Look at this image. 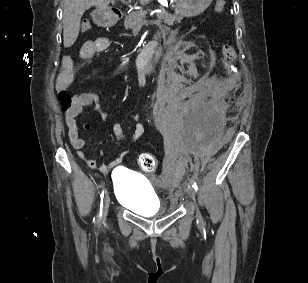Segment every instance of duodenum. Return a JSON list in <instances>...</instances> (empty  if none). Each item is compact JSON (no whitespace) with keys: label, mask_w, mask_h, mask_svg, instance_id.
<instances>
[{"label":"duodenum","mask_w":308,"mask_h":283,"mask_svg":"<svg viewBox=\"0 0 308 283\" xmlns=\"http://www.w3.org/2000/svg\"><path fill=\"white\" fill-rule=\"evenodd\" d=\"M123 17V13L118 8H111L105 12H103L98 18L97 21L102 26H108L112 23L118 22ZM159 41L156 38H151L147 44L144 45L140 55H138V62H140L139 66L141 69H145L147 66V62L152 60V57L155 56L156 44Z\"/></svg>","instance_id":"duodenum-1"}]
</instances>
